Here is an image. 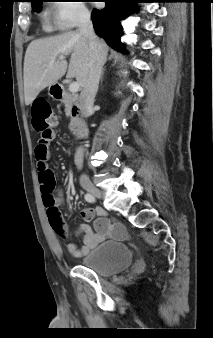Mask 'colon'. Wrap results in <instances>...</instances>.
I'll use <instances>...</instances> for the list:
<instances>
[{
  "mask_svg": "<svg viewBox=\"0 0 213 338\" xmlns=\"http://www.w3.org/2000/svg\"><path fill=\"white\" fill-rule=\"evenodd\" d=\"M33 128L41 135L48 137L52 134L54 116L49 103L42 98H37L32 103ZM39 182L41 186L42 200L44 206L50 210L49 221L53 228L59 227L63 223L60 211L56 208L54 197L55 179L53 172L46 163H39Z\"/></svg>",
  "mask_w": 213,
  "mask_h": 338,
  "instance_id": "colon-1",
  "label": "colon"
}]
</instances>
